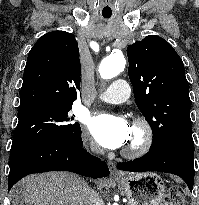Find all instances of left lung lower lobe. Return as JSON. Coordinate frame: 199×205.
<instances>
[{
	"mask_svg": "<svg viewBox=\"0 0 199 205\" xmlns=\"http://www.w3.org/2000/svg\"><path fill=\"white\" fill-rule=\"evenodd\" d=\"M117 168L131 172L160 171L180 176L192 192L194 183V141L177 137L158 149H150L143 157L119 163Z\"/></svg>",
	"mask_w": 199,
	"mask_h": 205,
	"instance_id": "obj_1",
	"label": "left lung lower lobe"
}]
</instances>
